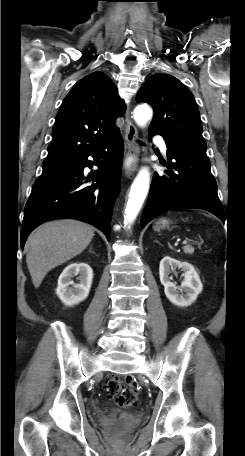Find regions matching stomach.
I'll list each match as a JSON object with an SVG mask.
<instances>
[{"label":"stomach","mask_w":245,"mask_h":456,"mask_svg":"<svg viewBox=\"0 0 245 456\" xmlns=\"http://www.w3.org/2000/svg\"><path fill=\"white\" fill-rule=\"evenodd\" d=\"M169 225H170V221H169V220H167V219H160V220L156 223V225H155L154 228H155L156 230H160V229H164V228L169 227Z\"/></svg>","instance_id":"obj_1"}]
</instances>
